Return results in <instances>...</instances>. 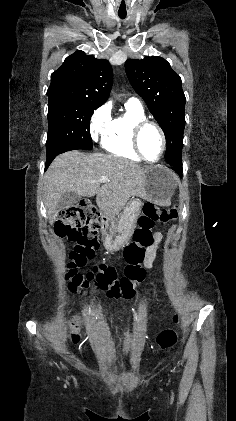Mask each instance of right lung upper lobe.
Returning <instances> with one entry per match:
<instances>
[{
  "label": "right lung upper lobe",
  "instance_id": "1",
  "mask_svg": "<svg viewBox=\"0 0 236 421\" xmlns=\"http://www.w3.org/2000/svg\"><path fill=\"white\" fill-rule=\"evenodd\" d=\"M112 82V68L107 60L76 51L52 73L47 95L84 98L104 104Z\"/></svg>",
  "mask_w": 236,
  "mask_h": 421
}]
</instances>
